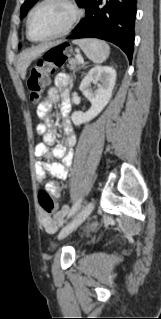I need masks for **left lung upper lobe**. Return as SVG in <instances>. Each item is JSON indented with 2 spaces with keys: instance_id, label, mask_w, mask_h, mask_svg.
I'll return each mask as SVG.
<instances>
[{
  "instance_id": "1",
  "label": "left lung upper lobe",
  "mask_w": 161,
  "mask_h": 319,
  "mask_svg": "<svg viewBox=\"0 0 161 319\" xmlns=\"http://www.w3.org/2000/svg\"><path fill=\"white\" fill-rule=\"evenodd\" d=\"M37 1L38 0H25L24 4L21 7V13H20L21 18L26 16L27 12ZM75 1L79 6L84 7L85 9L89 2V0H75Z\"/></svg>"
}]
</instances>
